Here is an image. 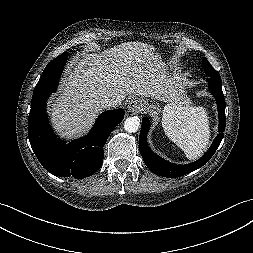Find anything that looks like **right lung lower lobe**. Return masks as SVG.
Instances as JSON below:
<instances>
[{"label": "right lung lower lobe", "mask_w": 253, "mask_h": 253, "mask_svg": "<svg viewBox=\"0 0 253 253\" xmlns=\"http://www.w3.org/2000/svg\"><path fill=\"white\" fill-rule=\"evenodd\" d=\"M66 61L67 52H64L44 69L31 100L28 135L35 155L47 171L60 177L81 179L100 168L104 156L102 147L112 130L123 120L124 110L102 113L84 138L68 144L57 139L49 126L45 108L47 98L57 88Z\"/></svg>", "instance_id": "right-lung-lower-lobe-1"}]
</instances>
